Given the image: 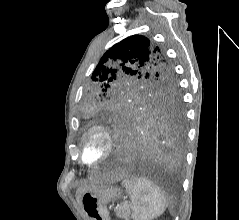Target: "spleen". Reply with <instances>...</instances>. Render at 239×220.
<instances>
[{"instance_id":"obj_1","label":"spleen","mask_w":239,"mask_h":220,"mask_svg":"<svg viewBox=\"0 0 239 220\" xmlns=\"http://www.w3.org/2000/svg\"><path fill=\"white\" fill-rule=\"evenodd\" d=\"M132 202L133 220H153L162 215L167 200L160 188L146 178L135 177L123 181Z\"/></svg>"}]
</instances>
